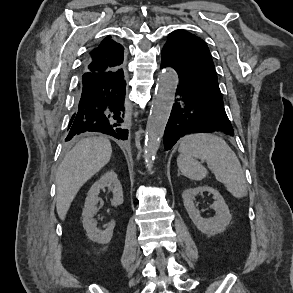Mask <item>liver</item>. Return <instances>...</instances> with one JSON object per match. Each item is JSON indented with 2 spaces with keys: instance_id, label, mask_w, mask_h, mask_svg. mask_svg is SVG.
<instances>
[{
  "instance_id": "liver-1",
  "label": "liver",
  "mask_w": 293,
  "mask_h": 293,
  "mask_svg": "<svg viewBox=\"0 0 293 293\" xmlns=\"http://www.w3.org/2000/svg\"><path fill=\"white\" fill-rule=\"evenodd\" d=\"M111 143L103 137L80 140L65 156L56 174V209L61 220L80 188L109 161Z\"/></svg>"
}]
</instances>
